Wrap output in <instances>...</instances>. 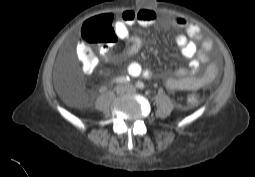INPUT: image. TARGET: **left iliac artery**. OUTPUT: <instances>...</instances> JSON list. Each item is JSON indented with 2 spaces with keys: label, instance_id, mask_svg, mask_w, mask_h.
I'll list each match as a JSON object with an SVG mask.
<instances>
[{
  "label": "left iliac artery",
  "instance_id": "left-iliac-artery-1",
  "mask_svg": "<svg viewBox=\"0 0 255 177\" xmlns=\"http://www.w3.org/2000/svg\"><path fill=\"white\" fill-rule=\"evenodd\" d=\"M136 87H137L138 89H143V88H144V84H143L142 82L138 81V82L136 83Z\"/></svg>",
  "mask_w": 255,
  "mask_h": 177
}]
</instances>
